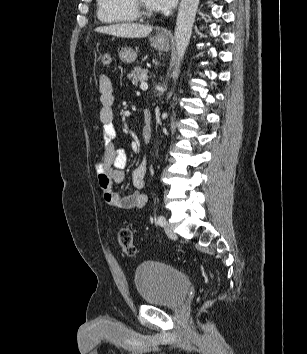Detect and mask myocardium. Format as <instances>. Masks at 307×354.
Segmentation results:
<instances>
[{
	"label": "myocardium",
	"instance_id": "f54148a6",
	"mask_svg": "<svg viewBox=\"0 0 307 354\" xmlns=\"http://www.w3.org/2000/svg\"><path fill=\"white\" fill-rule=\"evenodd\" d=\"M132 9L138 15V17H152L154 16V11L147 9L141 2V0H130Z\"/></svg>",
	"mask_w": 307,
	"mask_h": 354
}]
</instances>
